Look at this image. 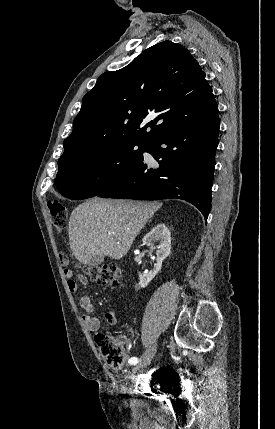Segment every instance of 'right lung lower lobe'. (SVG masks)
<instances>
[{
  "mask_svg": "<svg viewBox=\"0 0 275 429\" xmlns=\"http://www.w3.org/2000/svg\"><path fill=\"white\" fill-rule=\"evenodd\" d=\"M217 113L151 139L145 152L153 156L159 167L149 168L142 159L135 168L96 196L182 199L192 203L207 220L220 127Z\"/></svg>",
  "mask_w": 275,
  "mask_h": 429,
  "instance_id": "right-lung-lower-lobe-1",
  "label": "right lung lower lobe"
}]
</instances>
